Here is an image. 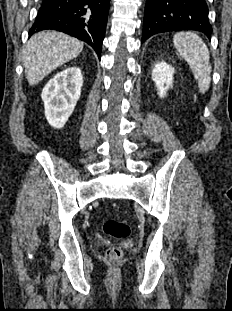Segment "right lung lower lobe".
<instances>
[{"mask_svg":"<svg viewBox=\"0 0 232 311\" xmlns=\"http://www.w3.org/2000/svg\"><path fill=\"white\" fill-rule=\"evenodd\" d=\"M110 0H43L29 31L54 29L74 36L101 55Z\"/></svg>","mask_w":232,"mask_h":311,"instance_id":"right-lung-lower-lobe-1","label":"right lung lower lobe"}]
</instances>
